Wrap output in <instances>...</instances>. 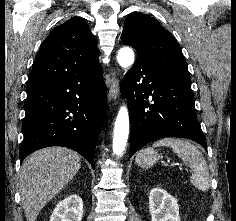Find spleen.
Returning a JSON list of instances; mask_svg holds the SVG:
<instances>
[{
    "label": "spleen",
    "mask_w": 236,
    "mask_h": 221,
    "mask_svg": "<svg viewBox=\"0 0 236 221\" xmlns=\"http://www.w3.org/2000/svg\"><path fill=\"white\" fill-rule=\"evenodd\" d=\"M167 146L183 160L193 171L190 181L199 190L206 191L210 187L207 162L196 146L188 141L177 138H163L156 141L153 147Z\"/></svg>",
    "instance_id": "obj_1"
}]
</instances>
